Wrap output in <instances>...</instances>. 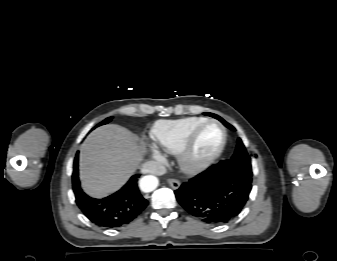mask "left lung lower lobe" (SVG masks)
Returning a JSON list of instances; mask_svg holds the SVG:
<instances>
[{"label": "left lung lower lobe", "instance_id": "0a47b994", "mask_svg": "<svg viewBox=\"0 0 337 261\" xmlns=\"http://www.w3.org/2000/svg\"><path fill=\"white\" fill-rule=\"evenodd\" d=\"M252 180L237 169L218 163L175 190L177 201L191 215L208 224H224L240 214Z\"/></svg>", "mask_w": 337, "mask_h": 261}]
</instances>
